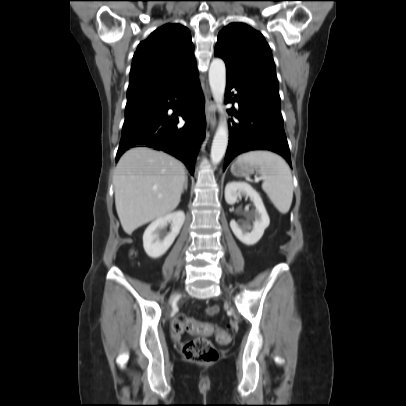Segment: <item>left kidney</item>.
I'll list each match as a JSON object with an SVG mask.
<instances>
[{
	"label": "left kidney",
	"mask_w": 406,
	"mask_h": 406,
	"mask_svg": "<svg viewBox=\"0 0 406 406\" xmlns=\"http://www.w3.org/2000/svg\"><path fill=\"white\" fill-rule=\"evenodd\" d=\"M242 196H247L253 202L255 210L248 213L252 221L245 223L242 227L231 220L230 227L234 235L246 245L256 244L263 236L264 230L269 226L270 219L259 193L245 182H230L225 187V200L229 205H233ZM252 229V230H251ZM251 230V232H248Z\"/></svg>",
	"instance_id": "left-kidney-1"
}]
</instances>
